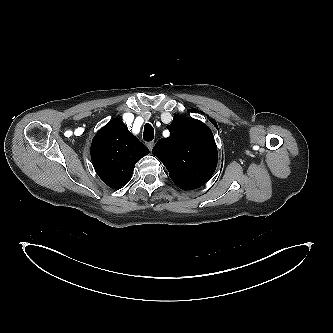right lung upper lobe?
Wrapping results in <instances>:
<instances>
[{
	"mask_svg": "<svg viewBox=\"0 0 333 333\" xmlns=\"http://www.w3.org/2000/svg\"><path fill=\"white\" fill-rule=\"evenodd\" d=\"M149 153L121 120H112L94 137L91 159L94 169L110 188L120 189L132 178L135 164Z\"/></svg>",
	"mask_w": 333,
	"mask_h": 333,
	"instance_id": "right-lung-upper-lobe-1",
	"label": "right lung upper lobe"
}]
</instances>
